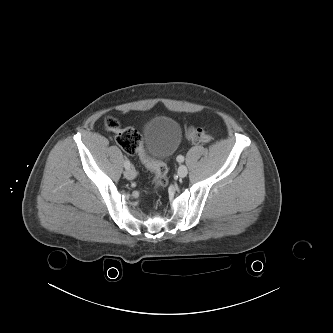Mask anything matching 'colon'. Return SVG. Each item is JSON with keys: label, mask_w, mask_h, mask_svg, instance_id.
I'll return each mask as SVG.
<instances>
[{"label": "colon", "mask_w": 333, "mask_h": 333, "mask_svg": "<svg viewBox=\"0 0 333 333\" xmlns=\"http://www.w3.org/2000/svg\"><path fill=\"white\" fill-rule=\"evenodd\" d=\"M107 131L115 134L117 144L130 155H137L142 163L154 173V183L157 188L165 187L168 183L167 167L162 162L152 161L143 147L142 135L134 128H121L115 117L105 120ZM186 138L194 143L206 142L210 135L198 127L190 126L185 132Z\"/></svg>", "instance_id": "5ec220e1"}]
</instances>
